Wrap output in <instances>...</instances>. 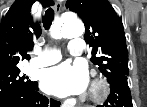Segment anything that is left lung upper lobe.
Instances as JSON below:
<instances>
[{"label": "left lung upper lobe", "instance_id": "1", "mask_svg": "<svg viewBox=\"0 0 147 107\" xmlns=\"http://www.w3.org/2000/svg\"><path fill=\"white\" fill-rule=\"evenodd\" d=\"M66 8L85 24V41L92 47L91 61L107 81L129 74L128 51L122 18L107 0H68Z\"/></svg>", "mask_w": 147, "mask_h": 107}]
</instances>
